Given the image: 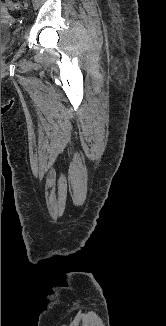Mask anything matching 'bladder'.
<instances>
[{
    "label": "bladder",
    "mask_w": 166,
    "mask_h": 326,
    "mask_svg": "<svg viewBox=\"0 0 166 326\" xmlns=\"http://www.w3.org/2000/svg\"><path fill=\"white\" fill-rule=\"evenodd\" d=\"M5 10H6V8L1 5V14L4 13ZM5 48L6 47L5 46H2V44H1V50H4Z\"/></svg>",
    "instance_id": "31cf9c89"
}]
</instances>
